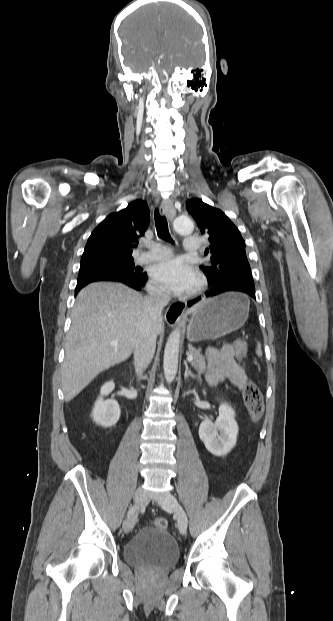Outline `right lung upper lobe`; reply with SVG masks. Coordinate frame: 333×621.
<instances>
[{
  "label": "right lung upper lobe",
  "instance_id": "cb5924a9",
  "mask_svg": "<svg viewBox=\"0 0 333 621\" xmlns=\"http://www.w3.org/2000/svg\"><path fill=\"white\" fill-rule=\"evenodd\" d=\"M150 211L140 199L125 209L108 215L92 232L85 246L83 258L132 257L138 238L144 235Z\"/></svg>",
  "mask_w": 333,
  "mask_h": 621
}]
</instances>
